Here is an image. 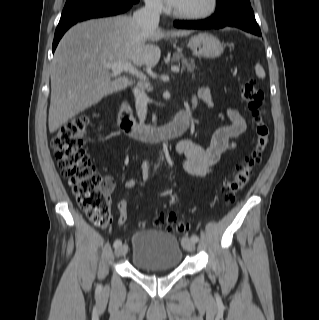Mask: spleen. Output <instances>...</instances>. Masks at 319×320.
Wrapping results in <instances>:
<instances>
[{
    "label": "spleen",
    "instance_id": "spleen-1",
    "mask_svg": "<svg viewBox=\"0 0 319 320\" xmlns=\"http://www.w3.org/2000/svg\"><path fill=\"white\" fill-rule=\"evenodd\" d=\"M255 72H256V75L261 79H264L265 76H266L265 71H264L263 67L260 64H256Z\"/></svg>",
    "mask_w": 319,
    "mask_h": 320
}]
</instances>
